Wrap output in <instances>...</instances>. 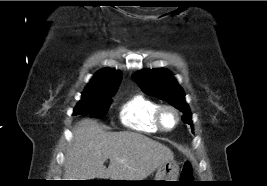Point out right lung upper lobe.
<instances>
[{
    "instance_id": "cb5924a9",
    "label": "right lung upper lobe",
    "mask_w": 267,
    "mask_h": 186,
    "mask_svg": "<svg viewBox=\"0 0 267 186\" xmlns=\"http://www.w3.org/2000/svg\"><path fill=\"white\" fill-rule=\"evenodd\" d=\"M122 72L114 69H102L94 75L84 92L117 90Z\"/></svg>"
}]
</instances>
